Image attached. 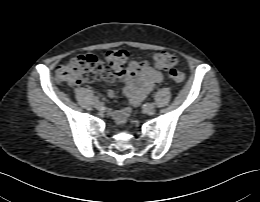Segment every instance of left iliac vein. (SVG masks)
Returning a JSON list of instances; mask_svg holds the SVG:
<instances>
[{
	"label": "left iliac vein",
	"mask_w": 260,
	"mask_h": 202,
	"mask_svg": "<svg viewBox=\"0 0 260 202\" xmlns=\"http://www.w3.org/2000/svg\"><path fill=\"white\" fill-rule=\"evenodd\" d=\"M145 113L148 114V115H153L155 113L154 105H147L145 107Z\"/></svg>",
	"instance_id": "left-iliac-vein-1"
}]
</instances>
